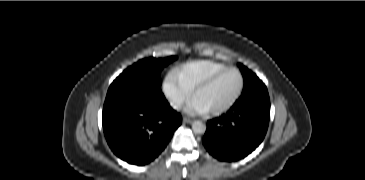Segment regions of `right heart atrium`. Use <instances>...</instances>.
<instances>
[{"mask_svg": "<svg viewBox=\"0 0 365 180\" xmlns=\"http://www.w3.org/2000/svg\"><path fill=\"white\" fill-rule=\"evenodd\" d=\"M163 93L174 109H180L189 99L190 93L181 84L176 72L169 73L163 82Z\"/></svg>", "mask_w": 365, "mask_h": 180, "instance_id": "1", "label": "right heart atrium"}]
</instances>
